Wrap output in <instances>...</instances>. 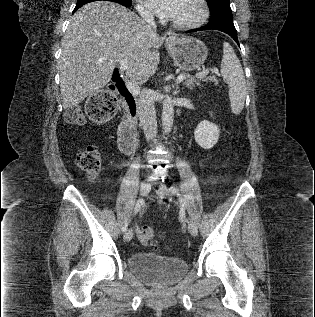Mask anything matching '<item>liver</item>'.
I'll return each instance as SVG.
<instances>
[{
  "mask_svg": "<svg viewBox=\"0 0 315 317\" xmlns=\"http://www.w3.org/2000/svg\"><path fill=\"white\" fill-rule=\"evenodd\" d=\"M163 39L144 20L114 2L96 1L70 19L61 41L60 91L65 109L98 93L122 59L132 81L153 76Z\"/></svg>",
  "mask_w": 315,
  "mask_h": 317,
  "instance_id": "liver-1",
  "label": "liver"
}]
</instances>
